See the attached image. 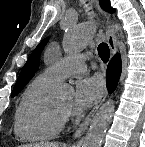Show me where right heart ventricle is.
<instances>
[{
    "mask_svg": "<svg viewBox=\"0 0 145 147\" xmlns=\"http://www.w3.org/2000/svg\"><path fill=\"white\" fill-rule=\"evenodd\" d=\"M55 84L56 81L42 73L26 87L14 118V132L18 138L45 141L58 135L63 119L50 98Z\"/></svg>",
    "mask_w": 145,
    "mask_h": 147,
    "instance_id": "right-heart-ventricle-1",
    "label": "right heart ventricle"
}]
</instances>
